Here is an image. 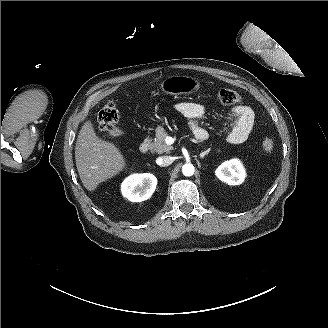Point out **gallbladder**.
Returning <instances> with one entry per match:
<instances>
[{
    "instance_id": "1",
    "label": "gallbladder",
    "mask_w": 328,
    "mask_h": 328,
    "mask_svg": "<svg viewBox=\"0 0 328 328\" xmlns=\"http://www.w3.org/2000/svg\"><path fill=\"white\" fill-rule=\"evenodd\" d=\"M123 134H124V132L119 128H114V129L109 130V135H111V136H120Z\"/></svg>"
}]
</instances>
